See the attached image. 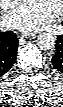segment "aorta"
I'll return each mask as SVG.
<instances>
[{
    "label": "aorta",
    "mask_w": 63,
    "mask_h": 107,
    "mask_svg": "<svg viewBox=\"0 0 63 107\" xmlns=\"http://www.w3.org/2000/svg\"><path fill=\"white\" fill-rule=\"evenodd\" d=\"M54 44V39L49 33H44L38 38V45L42 49H50Z\"/></svg>",
    "instance_id": "obj_1"
}]
</instances>
